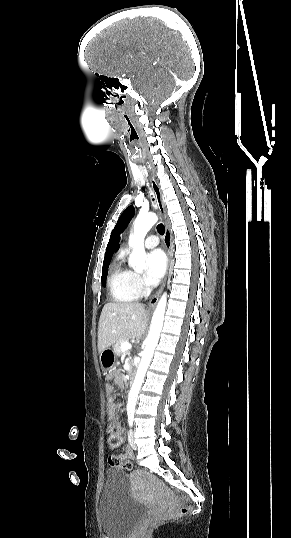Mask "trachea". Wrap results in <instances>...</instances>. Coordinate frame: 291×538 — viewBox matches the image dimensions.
<instances>
[{"label":"trachea","mask_w":291,"mask_h":538,"mask_svg":"<svg viewBox=\"0 0 291 538\" xmlns=\"http://www.w3.org/2000/svg\"><path fill=\"white\" fill-rule=\"evenodd\" d=\"M157 231H158V233H159L160 235H164V233H165V227H164V225H163L162 223L158 224V226H157Z\"/></svg>","instance_id":"trachea-1"}]
</instances>
